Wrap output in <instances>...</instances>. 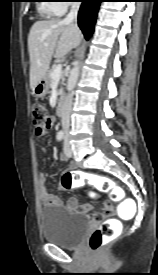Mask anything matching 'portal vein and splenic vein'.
<instances>
[{"mask_svg":"<svg viewBox=\"0 0 158 275\" xmlns=\"http://www.w3.org/2000/svg\"><path fill=\"white\" fill-rule=\"evenodd\" d=\"M61 75H62V65L58 64L57 67L51 73V77L54 80H59L61 78Z\"/></svg>","mask_w":158,"mask_h":275,"instance_id":"18ae733b","label":"portal vein and splenic vein"}]
</instances>
